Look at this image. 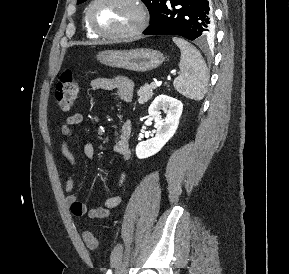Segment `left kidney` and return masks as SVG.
Wrapping results in <instances>:
<instances>
[{
  "instance_id": "left-kidney-1",
  "label": "left kidney",
  "mask_w": 289,
  "mask_h": 274,
  "mask_svg": "<svg viewBox=\"0 0 289 274\" xmlns=\"http://www.w3.org/2000/svg\"><path fill=\"white\" fill-rule=\"evenodd\" d=\"M161 110L167 114L165 119L160 116ZM182 110V102L173 97L159 95L154 99L148 114L157 125V133L154 138L140 142L136 146V156L139 159L155 155L172 138L178 128Z\"/></svg>"
}]
</instances>
